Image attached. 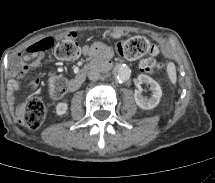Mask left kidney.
<instances>
[{
    "mask_svg": "<svg viewBox=\"0 0 215 183\" xmlns=\"http://www.w3.org/2000/svg\"><path fill=\"white\" fill-rule=\"evenodd\" d=\"M138 82L149 84L152 90V96L150 98L143 97L139 90H135L134 99L136 104L140 108L146 110L155 108L159 104L160 98L162 97V89L160 85L145 74H140L138 76Z\"/></svg>",
    "mask_w": 215,
    "mask_h": 183,
    "instance_id": "1",
    "label": "left kidney"
}]
</instances>
